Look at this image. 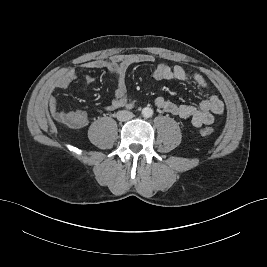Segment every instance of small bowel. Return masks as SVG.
Wrapping results in <instances>:
<instances>
[{"mask_svg": "<svg viewBox=\"0 0 267 267\" xmlns=\"http://www.w3.org/2000/svg\"><path fill=\"white\" fill-rule=\"evenodd\" d=\"M155 57L146 53H128L115 54L105 58L90 60L82 64L85 69H102L106 68L111 77L114 79L116 87L112 93L111 100L104 107L107 111L122 108H132L134 100L128 95L126 84V73L129 67L136 63H152ZM154 78L157 80H177L193 85L197 90L208 91L207 98L203 100L198 107L188 104H176L164 97H157L155 105L164 112L170 113L182 119H189L194 128L202 125L213 123L215 115H222L224 104L221 99L214 93L210 92L209 84L200 73L189 75L185 69L179 65L169 66L159 63L154 69ZM77 78V72L71 68L60 75L54 83V88L58 90L68 89ZM94 78L90 75L85 78V85H91ZM49 106L51 113L61 118L62 111L58 109L54 96L49 97ZM71 115L76 118V127L82 128L88 125L89 118L86 112L81 110L70 111Z\"/></svg>", "mask_w": 267, "mask_h": 267, "instance_id": "c3829d8e", "label": "small bowel"}]
</instances>
